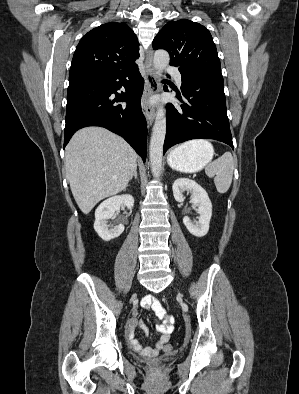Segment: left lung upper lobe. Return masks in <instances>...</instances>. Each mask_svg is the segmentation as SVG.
Returning a JSON list of instances; mask_svg holds the SVG:
<instances>
[{
	"label": "left lung upper lobe",
	"instance_id": "obj_1",
	"mask_svg": "<svg viewBox=\"0 0 299 394\" xmlns=\"http://www.w3.org/2000/svg\"><path fill=\"white\" fill-rule=\"evenodd\" d=\"M153 48L170 54V65L181 75L212 73L222 76L220 60L210 32L201 24L182 19L168 22L157 34Z\"/></svg>",
	"mask_w": 299,
	"mask_h": 394
}]
</instances>
